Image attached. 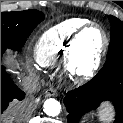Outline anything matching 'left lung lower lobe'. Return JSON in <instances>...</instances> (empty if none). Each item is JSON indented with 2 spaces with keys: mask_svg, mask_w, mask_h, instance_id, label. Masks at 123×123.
I'll return each instance as SVG.
<instances>
[{
  "mask_svg": "<svg viewBox=\"0 0 123 123\" xmlns=\"http://www.w3.org/2000/svg\"><path fill=\"white\" fill-rule=\"evenodd\" d=\"M103 101L113 103L114 123H123V71L109 76L100 70L92 80L69 91L64 98L68 123H79L84 114L95 110Z\"/></svg>",
  "mask_w": 123,
  "mask_h": 123,
  "instance_id": "left-lung-lower-lobe-1",
  "label": "left lung lower lobe"
}]
</instances>
